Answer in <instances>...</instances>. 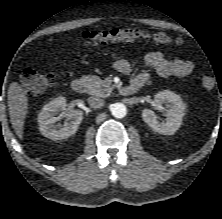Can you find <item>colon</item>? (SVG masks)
<instances>
[{"instance_id": "obj_1", "label": "colon", "mask_w": 222, "mask_h": 219, "mask_svg": "<svg viewBox=\"0 0 222 219\" xmlns=\"http://www.w3.org/2000/svg\"><path fill=\"white\" fill-rule=\"evenodd\" d=\"M82 38L86 45H99L116 41L132 42L137 40L151 41L158 46H173L180 43L178 38H173L165 33L149 34L139 29L120 28L85 31L82 34ZM58 77V73H40L32 69H26L20 75V83L27 93L39 95L52 87ZM215 85L216 80L213 77L206 76L202 79V87L205 90H211Z\"/></svg>"}]
</instances>
